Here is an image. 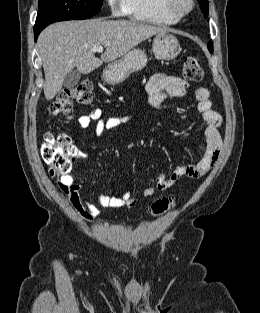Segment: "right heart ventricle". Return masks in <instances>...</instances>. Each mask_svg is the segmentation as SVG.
<instances>
[{
  "instance_id": "e07e8e85",
  "label": "right heart ventricle",
  "mask_w": 260,
  "mask_h": 313,
  "mask_svg": "<svg viewBox=\"0 0 260 313\" xmlns=\"http://www.w3.org/2000/svg\"><path fill=\"white\" fill-rule=\"evenodd\" d=\"M125 14L138 22L173 25L179 19L165 11L161 0H124Z\"/></svg>"
}]
</instances>
